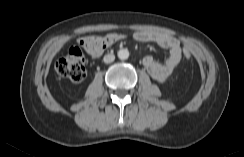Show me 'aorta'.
Returning <instances> with one entry per match:
<instances>
[{
    "label": "aorta",
    "instance_id": "aorta-1",
    "mask_svg": "<svg viewBox=\"0 0 244 157\" xmlns=\"http://www.w3.org/2000/svg\"><path fill=\"white\" fill-rule=\"evenodd\" d=\"M117 55L120 60H126L129 57V51L128 49H120Z\"/></svg>",
    "mask_w": 244,
    "mask_h": 157
}]
</instances>
